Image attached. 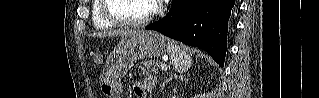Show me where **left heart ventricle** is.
Instances as JSON below:
<instances>
[{"instance_id": "left-heart-ventricle-1", "label": "left heart ventricle", "mask_w": 319, "mask_h": 98, "mask_svg": "<svg viewBox=\"0 0 319 98\" xmlns=\"http://www.w3.org/2000/svg\"><path fill=\"white\" fill-rule=\"evenodd\" d=\"M153 7L151 0H111L109 11L114 16L126 20H139L147 16Z\"/></svg>"}]
</instances>
